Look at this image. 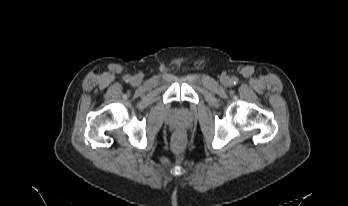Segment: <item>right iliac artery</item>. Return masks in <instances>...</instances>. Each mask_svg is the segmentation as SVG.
I'll return each instance as SVG.
<instances>
[{"label":"right iliac artery","mask_w":348,"mask_h":206,"mask_svg":"<svg viewBox=\"0 0 348 206\" xmlns=\"http://www.w3.org/2000/svg\"><path fill=\"white\" fill-rule=\"evenodd\" d=\"M130 80H131V77L127 75V76L125 77V81H126V82H129Z\"/></svg>","instance_id":"82829eb1"}]
</instances>
